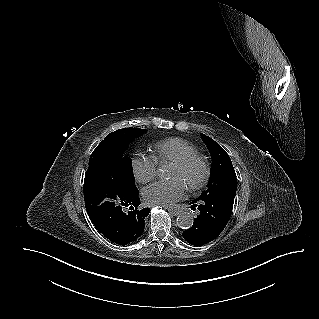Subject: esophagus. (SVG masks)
Wrapping results in <instances>:
<instances>
[{"mask_svg":"<svg viewBox=\"0 0 319 319\" xmlns=\"http://www.w3.org/2000/svg\"><path fill=\"white\" fill-rule=\"evenodd\" d=\"M167 210L174 216L179 215V211L173 208H167Z\"/></svg>","mask_w":319,"mask_h":319,"instance_id":"obj_1","label":"esophagus"}]
</instances>
